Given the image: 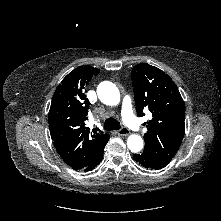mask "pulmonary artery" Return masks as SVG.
<instances>
[{
    "label": "pulmonary artery",
    "mask_w": 221,
    "mask_h": 221,
    "mask_svg": "<svg viewBox=\"0 0 221 221\" xmlns=\"http://www.w3.org/2000/svg\"><path fill=\"white\" fill-rule=\"evenodd\" d=\"M121 111L123 120L125 121L127 126H129L133 130H138L140 128V123L133 113L132 104L129 97L123 98Z\"/></svg>",
    "instance_id": "e3ab8cb5"
}]
</instances>
